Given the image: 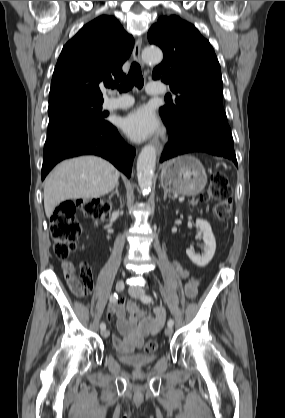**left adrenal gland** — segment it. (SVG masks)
Returning a JSON list of instances; mask_svg holds the SVG:
<instances>
[{
	"mask_svg": "<svg viewBox=\"0 0 285 418\" xmlns=\"http://www.w3.org/2000/svg\"><path fill=\"white\" fill-rule=\"evenodd\" d=\"M167 197L168 198H172V199H174L170 194H168V192L167 191H164V200H166L167 199Z\"/></svg>",
	"mask_w": 285,
	"mask_h": 418,
	"instance_id": "left-adrenal-gland-1",
	"label": "left adrenal gland"
}]
</instances>
